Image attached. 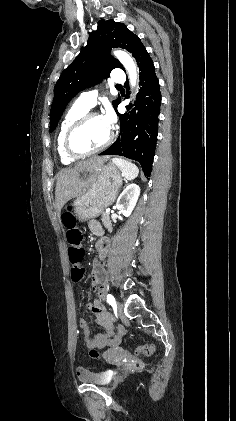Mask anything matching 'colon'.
<instances>
[{"instance_id": "obj_1", "label": "colon", "mask_w": 236, "mask_h": 421, "mask_svg": "<svg viewBox=\"0 0 236 421\" xmlns=\"http://www.w3.org/2000/svg\"><path fill=\"white\" fill-rule=\"evenodd\" d=\"M62 222L64 227L67 229V241H68V255L69 260L73 267L71 269V278L74 282H79L84 276V268L80 266V262L84 256V249L82 247L83 234L77 228V220L70 208L65 210L62 214ZM155 352V345L153 343H147L140 345L136 348L135 354L141 356H151ZM92 358H97L99 353L95 349H91L89 352Z\"/></svg>"}]
</instances>
